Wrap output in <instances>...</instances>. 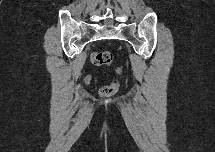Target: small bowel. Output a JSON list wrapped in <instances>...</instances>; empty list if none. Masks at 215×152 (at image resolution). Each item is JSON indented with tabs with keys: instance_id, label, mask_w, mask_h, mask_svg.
<instances>
[{
	"instance_id": "obj_1",
	"label": "small bowel",
	"mask_w": 215,
	"mask_h": 152,
	"mask_svg": "<svg viewBox=\"0 0 215 152\" xmlns=\"http://www.w3.org/2000/svg\"><path fill=\"white\" fill-rule=\"evenodd\" d=\"M94 80H95L94 77L88 76L87 79H86V82L90 83L91 81H94Z\"/></svg>"
}]
</instances>
